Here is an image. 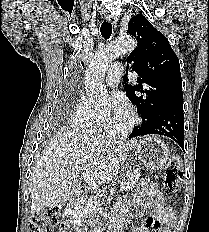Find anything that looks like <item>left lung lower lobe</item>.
<instances>
[{"instance_id":"left-lung-lower-lobe-1","label":"left lung lower lobe","mask_w":209,"mask_h":232,"mask_svg":"<svg viewBox=\"0 0 209 232\" xmlns=\"http://www.w3.org/2000/svg\"><path fill=\"white\" fill-rule=\"evenodd\" d=\"M158 134L167 136L177 142L184 150V113L183 105L162 108L142 121L141 126L135 127L130 138Z\"/></svg>"}]
</instances>
